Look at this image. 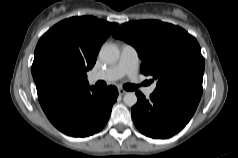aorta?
I'll return each instance as SVG.
<instances>
[{
    "mask_svg": "<svg viewBox=\"0 0 238 158\" xmlns=\"http://www.w3.org/2000/svg\"><path fill=\"white\" fill-rule=\"evenodd\" d=\"M99 56L103 62L113 64L119 60L120 51L116 45L106 43L101 47ZM123 101L127 106L132 107L137 103V96L134 92H128L124 95Z\"/></svg>",
    "mask_w": 238,
    "mask_h": 158,
    "instance_id": "762f6f07",
    "label": "aorta"
}]
</instances>
